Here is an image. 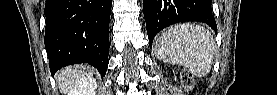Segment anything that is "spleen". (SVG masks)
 Masks as SVG:
<instances>
[{
	"label": "spleen",
	"instance_id": "1",
	"mask_svg": "<svg viewBox=\"0 0 277 95\" xmlns=\"http://www.w3.org/2000/svg\"><path fill=\"white\" fill-rule=\"evenodd\" d=\"M216 43L210 31L197 24H178L156 41V57L186 67L195 76H206L212 67Z\"/></svg>",
	"mask_w": 277,
	"mask_h": 95
}]
</instances>
